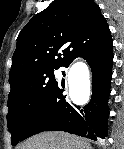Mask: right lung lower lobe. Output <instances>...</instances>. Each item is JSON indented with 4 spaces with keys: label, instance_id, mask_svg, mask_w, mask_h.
Masks as SVG:
<instances>
[{
    "label": "right lung lower lobe",
    "instance_id": "obj_1",
    "mask_svg": "<svg viewBox=\"0 0 124 149\" xmlns=\"http://www.w3.org/2000/svg\"><path fill=\"white\" fill-rule=\"evenodd\" d=\"M92 70V97L84 107L66 100L58 83L27 124L21 141L43 131H65L92 140L107 136L108 97L112 78V39L82 56ZM68 67V66H67Z\"/></svg>",
    "mask_w": 124,
    "mask_h": 149
}]
</instances>
